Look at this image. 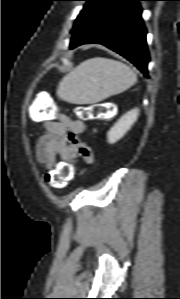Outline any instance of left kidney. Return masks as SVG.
<instances>
[{"mask_svg":"<svg viewBox=\"0 0 180 299\" xmlns=\"http://www.w3.org/2000/svg\"><path fill=\"white\" fill-rule=\"evenodd\" d=\"M139 109H133L124 114L107 133L108 142L113 144L120 140L137 121Z\"/></svg>","mask_w":180,"mask_h":299,"instance_id":"5707ae66","label":"left kidney"}]
</instances>
